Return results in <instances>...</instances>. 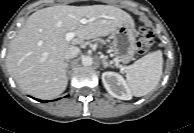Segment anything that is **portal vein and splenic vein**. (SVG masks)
<instances>
[{
  "label": "portal vein and splenic vein",
  "instance_id": "portal-vein-and-splenic-vein-1",
  "mask_svg": "<svg viewBox=\"0 0 194 133\" xmlns=\"http://www.w3.org/2000/svg\"><path fill=\"white\" fill-rule=\"evenodd\" d=\"M91 21H93V19H86V18H83V19L80 20V23H81L82 25H85V24H87V23H89V22H91ZM75 36H76V32L73 31V32H68V33H66L65 38H66L67 41H70V40H72Z\"/></svg>",
  "mask_w": 194,
  "mask_h": 133
}]
</instances>
